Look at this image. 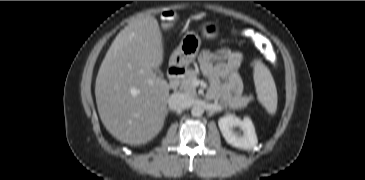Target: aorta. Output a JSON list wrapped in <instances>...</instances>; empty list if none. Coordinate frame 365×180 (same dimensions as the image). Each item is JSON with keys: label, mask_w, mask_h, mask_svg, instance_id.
<instances>
[{"label": "aorta", "mask_w": 365, "mask_h": 180, "mask_svg": "<svg viewBox=\"0 0 365 180\" xmlns=\"http://www.w3.org/2000/svg\"><path fill=\"white\" fill-rule=\"evenodd\" d=\"M204 109L199 105H194L191 109V114L195 117L202 116Z\"/></svg>", "instance_id": "1"}]
</instances>
